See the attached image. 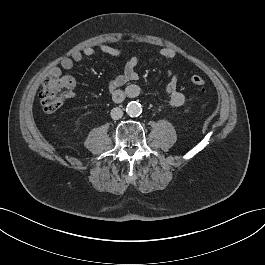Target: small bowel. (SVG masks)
Returning <instances> with one entry per match:
<instances>
[{"label":"small bowel","instance_id":"small-bowel-1","mask_svg":"<svg viewBox=\"0 0 265 265\" xmlns=\"http://www.w3.org/2000/svg\"><path fill=\"white\" fill-rule=\"evenodd\" d=\"M101 52L110 56H120L121 51L113 46L105 43H100L97 46H86L82 50L74 51L70 56L64 57L60 66L51 68V75H61L62 70H70L74 67L75 63L81 62L84 57H90ZM158 55L164 59H172L176 53L172 48L164 47L158 51ZM139 64V58L131 57L127 60L124 70L121 74L110 80L108 89L111 98L115 102H121L126 97H136L140 89L137 85L132 82L136 81L139 77L137 67ZM179 74L177 71L168 72V82L165 86V93L168 97L169 103L173 107H180L185 101L184 94L178 89ZM128 84V86L122 90L121 87Z\"/></svg>","mask_w":265,"mask_h":265}]
</instances>
